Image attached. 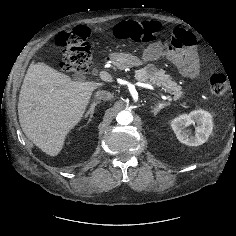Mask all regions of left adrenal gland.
I'll use <instances>...</instances> for the list:
<instances>
[{
  "label": "left adrenal gland",
  "instance_id": "obj_1",
  "mask_svg": "<svg viewBox=\"0 0 236 236\" xmlns=\"http://www.w3.org/2000/svg\"><path fill=\"white\" fill-rule=\"evenodd\" d=\"M170 105V103L169 102H163V103H156L155 104V107H153V106H151V112L152 113H154V115H157V113L161 110V109H163V108H165L166 106H169Z\"/></svg>",
  "mask_w": 236,
  "mask_h": 236
}]
</instances>
